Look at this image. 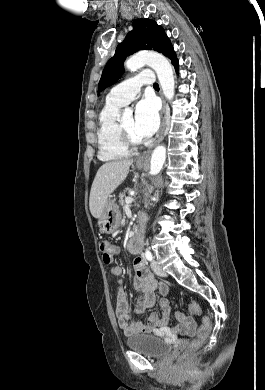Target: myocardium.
I'll return each instance as SVG.
<instances>
[{
    "label": "myocardium",
    "instance_id": "myocardium-1",
    "mask_svg": "<svg viewBox=\"0 0 265 390\" xmlns=\"http://www.w3.org/2000/svg\"><path fill=\"white\" fill-rule=\"evenodd\" d=\"M118 130L123 144L129 150H135L142 146L143 141L141 139H135L134 137H132L124 128L122 122L118 123Z\"/></svg>",
    "mask_w": 265,
    "mask_h": 390
}]
</instances>
